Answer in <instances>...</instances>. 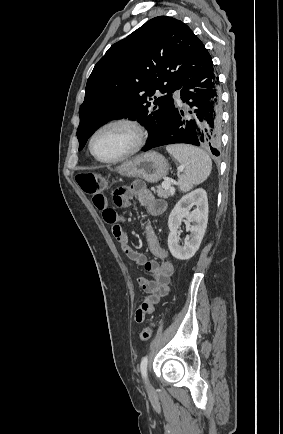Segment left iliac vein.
<instances>
[{
	"label": "left iliac vein",
	"mask_w": 283,
	"mask_h": 434,
	"mask_svg": "<svg viewBox=\"0 0 283 434\" xmlns=\"http://www.w3.org/2000/svg\"><path fill=\"white\" fill-rule=\"evenodd\" d=\"M146 388H147V391H148L149 393H151V392L153 391V387H152V385L150 384L149 380H146Z\"/></svg>",
	"instance_id": "1"
}]
</instances>
